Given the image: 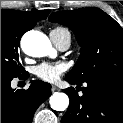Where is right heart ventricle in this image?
I'll return each instance as SVG.
<instances>
[{"label": "right heart ventricle", "instance_id": "right-heart-ventricle-1", "mask_svg": "<svg viewBox=\"0 0 123 123\" xmlns=\"http://www.w3.org/2000/svg\"><path fill=\"white\" fill-rule=\"evenodd\" d=\"M54 30H58V31H67L65 28H61V27H57Z\"/></svg>", "mask_w": 123, "mask_h": 123}]
</instances>
